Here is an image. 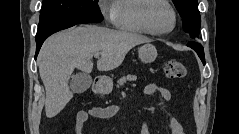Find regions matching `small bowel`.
Returning <instances> with one entry per match:
<instances>
[{"label": "small bowel", "instance_id": "obj_1", "mask_svg": "<svg viewBox=\"0 0 239 134\" xmlns=\"http://www.w3.org/2000/svg\"><path fill=\"white\" fill-rule=\"evenodd\" d=\"M144 93L149 96H158L162 100H169L171 93L168 88L154 84L147 85ZM120 108L117 105L97 106L88 110H81L76 115L75 134H82L84 124L90 117L98 119H109L114 117ZM170 134H184V129L177 118L172 117L169 124ZM140 134H149L148 127L145 123L140 125Z\"/></svg>", "mask_w": 239, "mask_h": 134}]
</instances>
